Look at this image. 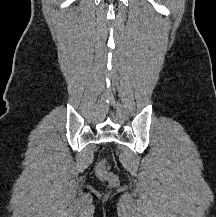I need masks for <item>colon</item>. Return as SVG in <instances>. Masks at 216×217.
Returning a JSON list of instances; mask_svg holds the SVG:
<instances>
[{"mask_svg": "<svg viewBox=\"0 0 216 217\" xmlns=\"http://www.w3.org/2000/svg\"><path fill=\"white\" fill-rule=\"evenodd\" d=\"M96 176L99 180L109 184H116L117 177L110 171L109 166L105 161L99 162L96 167Z\"/></svg>", "mask_w": 216, "mask_h": 217, "instance_id": "obj_1", "label": "colon"}]
</instances>
